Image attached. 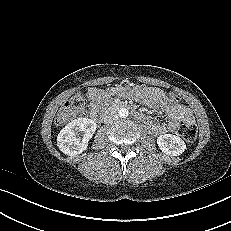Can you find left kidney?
Masks as SVG:
<instances>
[{"mask_svg":"<svg viewBox=\"0 0 231 231\" xmlns=\"http://www.w3.org/2000/svg\"><path fill=\"white\" fill-rule=\"evenodd\" d=\"M157 144L160 150L170 156H179L185 149V142L178 136L172 134L160 135L157 138Z\"/></svg>","mask_w":231,"mask_h":231,"instance_id":"1","label":"left kidney"}]
</instances>
